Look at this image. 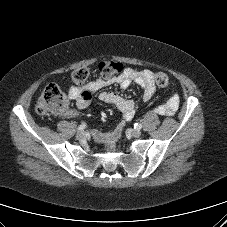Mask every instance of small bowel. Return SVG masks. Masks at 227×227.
Segmentation results:
<instances>
[{"label": "small bowel", "mask_w": 227, "mask_h": 227, "mask_svg": "<svg viewBox=\"0 0 227 227\" xmlns=\"http://www.w3.org/2000/svg\"><path fill=\"white\" fill-rule=\"evenodd\" d=\"M132 83L140 86L143 90L142 101H150L155 92L156 86L153 78V72L149 70H136L133 68H126L121 74L113 78H97L88 82L83 88L72 86L69 91V97L72 99L79 110L87 108L92 99V93L102 90L113 84L119 85L122 89L128 88ZM100 100L109 103L119 109L126 121H130L135 116L138 108V102L123 98L122 96L109 92L102 91L99 94ZM179 96L174 95L167 99L164 103L155 108V112L159 115H173L179 106ZM67 118H75L78 116L76 110H67L64 114ZM121 127H118L112 132L101 133L94 132V138L100 143L104 144L108 149L115 147L116 141L119 139Z\"/></svg>", "instance_id": "c3829d8e"}]
</instances>
